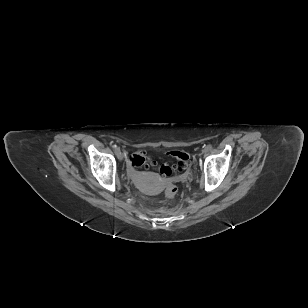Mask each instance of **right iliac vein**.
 <instances>
[{
	"mask_svg": "<svg viewBox=\"0 0 308 308\" xmlns=\"http://www.w3.org/2000/svg\"><path fill=\"white\" fill-rule=\"evenodd\" d=\"M115 154L120 161L123 160L124 156L119 149L115 152Z\"/></svg>",
	"mask_w": 308,
	"mask_h": 308,
	"instance_id": "63e3f726",
	"label": "right iliac vein"
}]
</instances>
